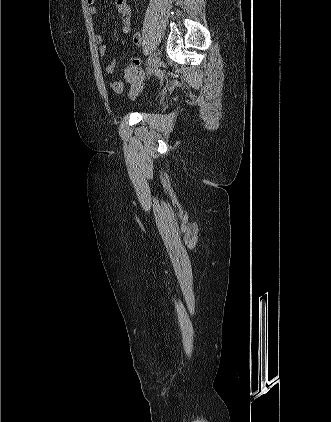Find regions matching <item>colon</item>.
I'll list each match as a JSON object with an SVG mask.
<instances>
[{
    "instance_id": "colon-1",
    "label": "colon",
    "mask_w": 331,
    "mask_h": 422,
    "mask_svg": "<svg viewBox=\"0 0 331 422\" xmlns=\"http://www.w3.org/2000/svg\"><path fill=\"white\" fill-rule=\"evenodd\" d=\"M125 75H133L140 78L142 77L143 73H142V70L139 69L138 67H134L130 65L125 69Z\"/></svg>"
}]
</instances>
